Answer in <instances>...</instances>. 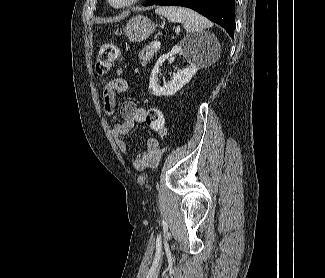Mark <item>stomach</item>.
<instances>
[{"instance_id":"obj_1","label":"stomach","mask_w":325,"mask_h":278,"mask_svg":"<svg viewBox=\"0 0 325 278\" xmlns=\"http://www.w3.org/2000/svg\"><path fill=\"white\" fill-rule=\"evenodd\" d=\"M156 26L148 17L137 15L127 22L123 29V34L131 42H141L146 40L155 31Z\"/></svg>"}]
</instances>
